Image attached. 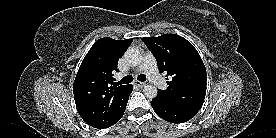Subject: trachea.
<instances>
[{"label": "trachea", "instance_id": "trachea-1", "mask_svg": "<svg viewBox=\"0 0 276 138\" xmlns=\"http://www.w3.org/2000/svg\"><path fill=\"white\" fill-rule=\"evenodd\" d=\"M137 79L141 82H144L146 81V76L141 74L137 77ZM133 81V77L131 75H127L125 77H123L119 82H118V85L120 84H129Z\"/></svg>", "mask_w": 276, "mask_h": 138}]
</instances>
